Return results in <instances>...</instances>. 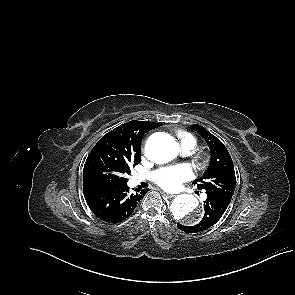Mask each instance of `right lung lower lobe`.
Segmentation results:
<instances>
[{"label":"right lung lower lobe","mask_w":295,"mask_h":295,"mask_svg":"<svg viewBox=\"0 0 295 295\" xmlns=\"http://www.w3.org/2000/svg\"><path fill=\"white\" fill-rule=\"evenodd\" d=\"M86 202L93 213L108 223L129 217L147 190L133 194L127 184L122 186H87L83 188Z\"/></svg>","instance_id":"98d812e1"}]
</instances>
